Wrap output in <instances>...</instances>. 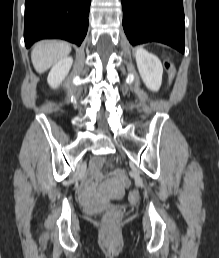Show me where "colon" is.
<instances>
[{
  "mask_svg": "<svg viewBox=\"0 0 219 258\" xmlns=\"http://www.w3.org/2000/svg\"><path fill=\"white\" fill-rule=\"evenodd\" d=\"M165 68L169 75V82L170 84L173 83L176 73L175 65L171 61H167L165 63ZM139 198V193L136 190H133L129 194L130 201H136ZM121 218V212L117 208H113L109 210L104 216V225L107 230H113L119 223Z\"/></svg>",
  "mask_w": 219,
  "mask_h": 258,
  "instance_id": "1",
  "label": "colon"
}]
</instances>
